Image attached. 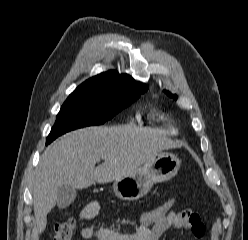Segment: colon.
Masks as SVG:
<instances>
[{"label":"colon","mask_w":248,"mask_h":240,"mask_svg":"<svg viewBox=\"0 0 248 240\" xmlns=\"http://www.w3.org/2000/svg\"><path fill=\"white\" fill-rule=\"evenodd\" d=\"M175 205L176 199L171 198L151 209L142 212L136 218V228L150 225L165 217L172 211ZM75 229L76 222L74 219H67L65 221L59 222L55 225L53 240H72Z\"/></svg>","instance_id":"5ec220e1"}]
</instances>
